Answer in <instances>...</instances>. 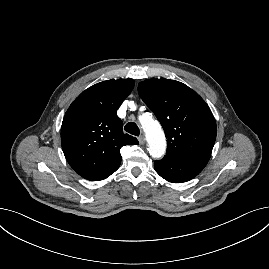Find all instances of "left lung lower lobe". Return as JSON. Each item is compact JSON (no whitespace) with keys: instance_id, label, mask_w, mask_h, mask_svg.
<instances>
[{"instance_id":"obj_1","label":"left lung lower lobe","mask_w":269,"mask_h":269,"mask_svg":"<svg viewBox=\"0 0 269 269\" xmlns=\"http://www.w3.org/2000/svg\"><path fill=\"white\" fill-rule=\"evenodd\" d=\"M207 162L198 157L166 154L162 160L154 162V169L165 180L181 183L197 176Z\"/></svg>"}]
</instances>
